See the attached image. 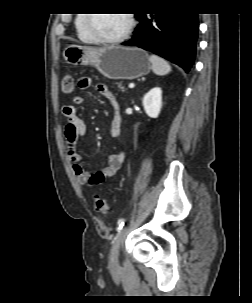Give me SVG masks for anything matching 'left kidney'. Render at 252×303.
Here are the masks:
<instances>
[{
	"label": "left kidney",
	"instance_id": "obj_1",
	"mask_svg": "<svg viewBox=\"0 0 252 303\" xmlns=\"http://www.w3.org/2000/svg\"><path fill=\"white\" fill-rule=\"evenodd\" d=\"M142 104L146 114L150 118H157L162 107V90L160 87L152 88L145 94Z\"/></svg>",
	"mask_w": 252,
	"mask_h": 303
}]
</instances>
